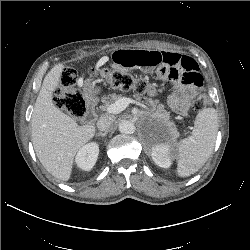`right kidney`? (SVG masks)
<instances>
[{"label": "right kidney", "instance_id": "1", "mask_svg": "<svg viewBox=\"0 0 250 250\" xmlns=\"http://www.w3.org/2000/svg\"><path fill=\"white\" fill-rule=\"evenodd\" d=\"M99 154V146L96 142H91L79 149L75 162L79 168L89 171L95 165Z\"/></svg>", "mask_w": 250, "mask_h": 250}]
</instances>
